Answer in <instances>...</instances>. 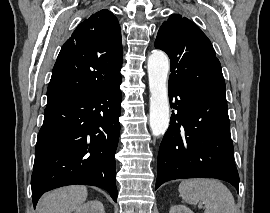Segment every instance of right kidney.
<instances>
[{"label": "right kidney", "mask_w": 270, "mask_h": 213, "mask_svg": "<svg viewBox=\"0 0 270 213\" xmlns=\"http://www.w3.org/2000/svg\"><path fill=\"white\" fill-rule=\"evenodd\" d=\"M74 213H105V210L102 202L92 200L78 207Z\"/></svg>", "instance_id": "1"}]
</instances>
